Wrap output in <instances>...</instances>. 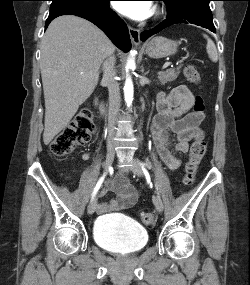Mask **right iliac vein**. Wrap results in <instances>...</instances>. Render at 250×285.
<instances>
[{
    "instance_id": "obj_1",
    "label": "right iliac vein",
    "mask_w": 250,
    "mask_h": 285,
    "mask_svg": "<svg viewBox=\"0 0 250 285\" xmlns=\"http://www.w3.org/2000/svg\"><path fill=\"white\" fill-rule=\"evenodd\" d=\"M115 158V151L113 148L108 149L106 154V159L104 163L105 172L108 171L109 167L112 165ZM97 205V197L94 196L88 205V213L93 214Z\"/></svg>"
}]
</instances>
